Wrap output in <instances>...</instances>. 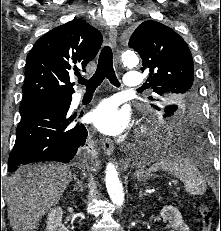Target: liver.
I'll return each instance as SVG.
<instances>
[{
    "instance_id": "obj_1",
    "label": "liver",
    "mask_w": 221,
    "mask_h": 231,
    "mask_svg": "<svg viewBox=\"0 0 221 231\" xmlns=\"http://www.w3.org/2000/svg\"><path fill=\"white\" fill-rule=\"evenodd\" d=\"M70 166L33 164L19 168L4 183L13 231H35L44 214L56 205L72 180Z\"/></svg>"
}]
</instances>
